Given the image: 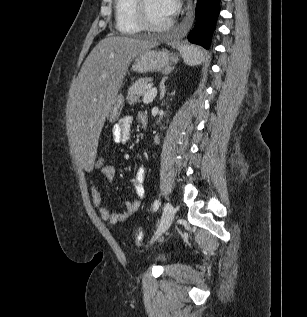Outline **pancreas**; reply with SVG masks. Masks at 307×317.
<instances>
[{
	"mask_svg": "<svg viewBox=\"0 0 307 317\" xmlns=\"http://www.w3.org/2000/svg\"><path fill=\"white\" fill-rule=\"evenodd\" d=\"M148 82L149 78H140L129 87L126 99L130 105L141 102V97L146 92L145 86Z\"/></svg>",
	"mask_w": 307,
	"mask_h": 317,
	"instance_id": "1",
	"label": "pancreas"
}]
</instances>
